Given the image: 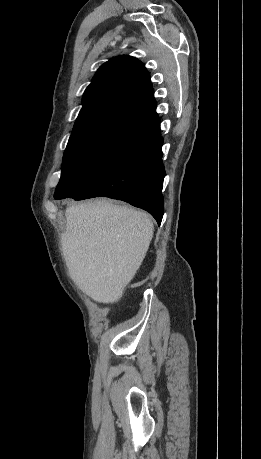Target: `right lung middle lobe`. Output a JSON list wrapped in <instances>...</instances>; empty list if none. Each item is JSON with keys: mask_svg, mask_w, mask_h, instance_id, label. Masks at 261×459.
I'll list each match as a JSON object with an SVG mask.
<instances>
[{"mask_svg": "<svg viewBox=\"0 0 261 459\" xmlns=\"http://www.w3.org/2000/svg\"><path fill=\"white\" fill-rule=\"evenodd\" d=\"M153 129L147 125L118 124L70 138L54 198H68L82 192L136 148Z\"/></svg>", "mask_w": 261, "mask_h": 459, "instance_id": "obj_1", "label": "right lung middle lobe"}]
</instances>
